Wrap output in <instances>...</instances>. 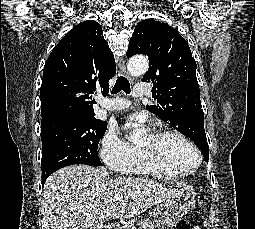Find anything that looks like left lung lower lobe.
<instances>
[{"label": "left lung lower lobe", "instance_id": "0a47b994", "mask_svg": "<svg viewBox=\"0 0 255 229\" xmlns=\"http://www.w3.org/2000/svg\"><path fill=\"white\" fill-rule=\"evenodd\" d=\"M196 121L199 126V128H204V115L203 113H199L196 115ZM206 162H209V159H205Z\"/></svg>", "mask_w": 255, "mask_h": 229}]
</instances>
